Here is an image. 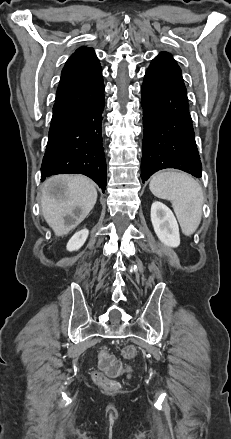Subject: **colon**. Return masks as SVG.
<instances>
[{"label": "colon", "instance_id": "5ec220e1", "mask_svg": "<svg viewBox=\"0 0 231 439\" xmlns=\"http://www.w3.org/2000/svg\"><path fill=\"white\" fill-rule=\"evenodd\" d=\"M137 354L134 346H125L121 349V355L124 359H133ZM99 370L92 373L93 380L104 387L114 388L117 386L114 379L122 371L121 364L107 351H103L99 356Z\"/></svg>", "mask_w": 231, "mask_h": 439}]
</instances>
